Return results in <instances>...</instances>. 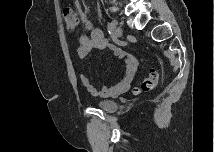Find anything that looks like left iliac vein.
Segmentation results:
<instances>
[{
  "label": "left iliac vein",
  "mask_w": 215,
  "mask_h": 152,
  "mask_svg": "<svg viewBox=\"0 0 215 152\" xmlns=\"http://www.w3.org/2000/svg\"><path fill=\"white\" fill-rule=\"evenodd\" d=\"M122 36V28L121 27H115L114 29V37L120 38Z\"/></svg>",
  "instance_id": "obj_1"
}]
</instances>
